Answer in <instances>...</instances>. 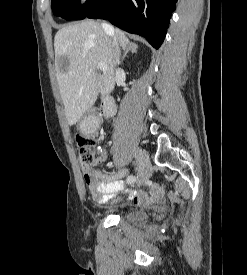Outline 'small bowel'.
Here are the masks:
<instances>
[{"label":"small bowel","mask_w":247,"mask_h":275,"mask_svg":"<svg viewBox=\"0 0 247 275\" xmlns=\"http://www.w3.org/2000/svg\"><path fill=\"white\" fill-rule=\"evenodd\" d=\"M91 128H97V120L91 118L88 121ZM108 153L105 149H99L95 160V165H99L107 159ZM128 174L127 169H122L114 174H106L96 169H91L84 173V182L90 192V196L97 204H103L111 200L114 195L123 190L125 184L123 178ZM147 191H135L132 194V201L138 205H144L158 201L164 194V189L161 185L148 182Z\"/></svg>","instance_id":"c3829d8e"}]
</instances>
